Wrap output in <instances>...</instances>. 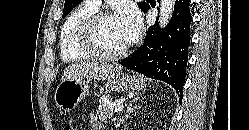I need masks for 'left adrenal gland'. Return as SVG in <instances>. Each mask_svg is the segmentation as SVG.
<instances>
[{
	"instance_id": "a2214340",
	"label": "left adrenal gland",
	"mask_w": 249,
	"mask_h": 130,
	"mask_svg": "<svg viewBox=\"0 0 249 130\" xmlns=\"http://www.w3.org/2000/svg\"><path fill=\"white\" fill-rule=\"evenodd\" d=\"M139 99H140L139 97H136V98H134L133 102L136 103ZM140 108H141V105H139V104L138 105L135 104L134 106L132 105V103L129 104L127 106V111H126L125 116H123L119 120V122L116 124V128L119 129L120 125L123 124L125 122V120L130 118V116H131V114H133V112H136V110H139Z\"/></svg>"
}]
</instances>
